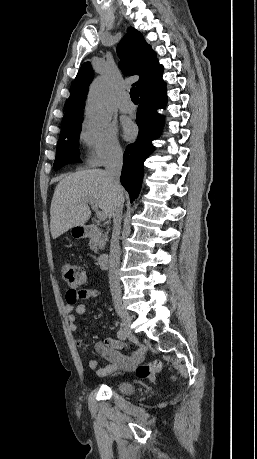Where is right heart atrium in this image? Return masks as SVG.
Here are the masks:
<instances>
[{
    "instance_id": "1",
    "label": "right heart atrium",
    "mask_w": 257,
    "mask_h": 459,
    "mask_svg": "<svg viewBox=\"0 0 257 459\" xmlns=\"http://www.w3.org/2000/svg\"><path fill=\"white\" fill-rule=\"evenodd\" d=\"M80 138L86 148L87 162L92 166H101L122 155L117 131L111 125L86 120L82 124Z\"/></svg>"
}]
</instances>
